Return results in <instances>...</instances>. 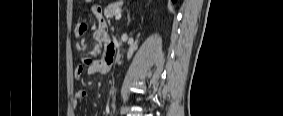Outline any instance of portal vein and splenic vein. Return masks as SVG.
I'll use <instances>...</instances> for the list:
<instances>
[{"instance_id": "portal-vein-and-splenic-vein-1", "label": "portal vein and splenic vein", "mask_w": 283, "mask_h": 116, "mask_svg": "<svg viewBox=\"0 0 283 116\" xmlns=\"http://www.w3.org/2000/svg\"><path fill=\"white\" fill-rule=\"evenodd\" d=\"M121 12L120 11H116V13H115V19L116 20H120L121 19Z\"/></svg>"}]
</instances>
